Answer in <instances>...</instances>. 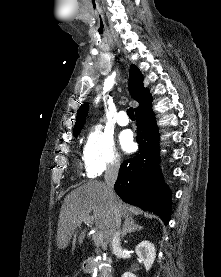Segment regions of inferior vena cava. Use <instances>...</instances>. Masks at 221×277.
Segmentation results:
<instances>
[{
  "mask_svg": "<svg viewBox=\"0 0 221 277\" xmlns=\"http://www.w3.org/2000/svg\"><path fill=\"white\" fill-rule=\"evenodd\" d=\"M120 163L115 161L112 162L107 166V169L105 171V196L108 199L109 203V209H110V246L112 251H115L116 249H120V241H121V217L119 210L116 206V204L113 201V195H114V184L116 182V179L118 177V171H119Z\"/></svg>",
  "mask_w": 221,
  "mask_h": 277,
  "instance_id": "obj_1",
  "label": "inferior vena cava"
}]
</instances>
